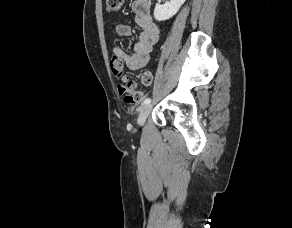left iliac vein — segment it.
<instances>
[{"instance_id":"1","label":"left iliac vein","mask_w":292,"mask_h":228,"mask_svg":"<svg viewBox=\"0 0 292 228\" xmlns=\"http://www.w3.org/2000/svg\"><path fill=\"white\" fill-rule=\"evenodd\" d=\"M152 110V104H145L141 107L139 117H138V124L143 125L149 116L150 112Z\"/></svg>"}]
</instances>
